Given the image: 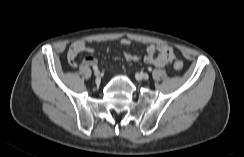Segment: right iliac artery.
<instances>
[{
    "label": "right iliac artery",
    "instance_id": "obj_1",
    "mask_svg": "<svg viewBox=\"0 0 244 157\" xmlns=\"http://www.w3.org/2000/svg\"><path fill=\"white\" fill-rule=\"evenodd\" d=\"M93 70L94 71H97L98 70V67L97 66H93Z\"/></svg>",
    "mask_w": 244,
    "mask_h": 157
}]
</instances>
